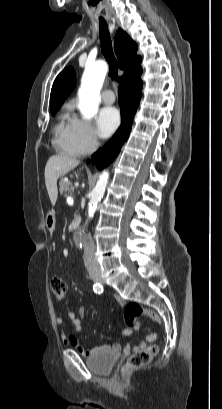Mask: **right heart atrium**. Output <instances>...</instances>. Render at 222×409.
I'll return each mask as SVG.
<instances>
[{"label":"right heart atrium","mask_w":222,"mask_h":409,"mask_svg":"<svg viewBox=\"0 0 222 409\" xmlns=\"http://www.w3.org/2000/svg\"><path fill=\"white\" fill-rule=\"evenodd\" d=\"M73 131L83 154L92 153L99 147V140L93 126L83 120L74 119Z\"/></svg>","instance_id":"right-heart-atrium-1"}]
</instances>
